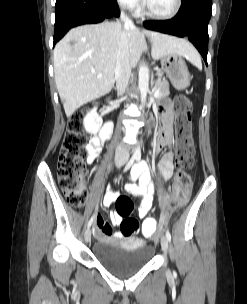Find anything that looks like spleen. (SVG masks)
<instances>
[{
  "mask_svg": "<svg viewBox=\"0 0 247 304\" xmlns=\"http://www.w3.org/2000/svg\"><path fill=\"white\" fill-rule=\"evenodd\" d=\"M191 63H193L196 67L198 68H201L202 67V63H201V60H200V57L199 56H194L192 58H190Z\"/></svg>",
  "mask_w": 247,
  "mask_h": 304,
  "instance_id": "1",
  "label": "spleen"
}]
</instances>
